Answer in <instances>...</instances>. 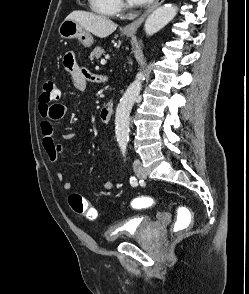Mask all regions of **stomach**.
Returning <instances> with one entry per match:
<instances>
[{"label": "stomach", "mask_w": 249, "mask_h": 294, "mask_svg": "<svg viewBox=\"0 0 249 294\" xmlns=\"http://www.w3.org/2000/svg\"><path fill=\"white\" fill-rule=\"evenodd\" d=\"M58 33L63 39H78L84 47H90L93 44V37L89 32L83 29L77 22L70 19L62 21L58 28ZM128 37L132 33L124 32Z\"/></svg>", "instance_id": "1"}]
</instances>
